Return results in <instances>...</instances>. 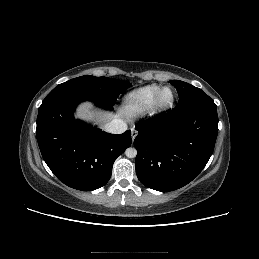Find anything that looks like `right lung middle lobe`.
Returning <instances> with one entry per match:
<instances>
[{
    "instance_id": "dd1d6c3e",
    "label": "right lung middle lobe",
    "mask_w": 259,
    "mask_h": 259,
    "mask_svg": "<svg viewBox=\"0 0 259 259\" xmlns=\"http://www.w3.org/2000/svg\"><path fill=\"white\" fill-rule=\"evenodd\" d=\"M130 86L131 84L126 81L86 75L59 84L42 103L62 95H81L108 105H114L119 94Z\"/></svg>"
}]
</instances>
